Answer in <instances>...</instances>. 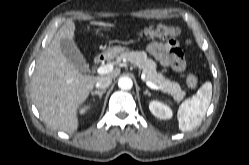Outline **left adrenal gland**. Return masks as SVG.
Instances as JSON below:
<instances>
[{"label":"left adrenal gland","mask_w":249,"mask_h":165,"mask_svg":"<svg viewBox=\"0 0 249 165\" xmlns=\"http://www.w3.org/2000/svg\"><path fill=\"white\" fill-rule=\"evenodd\" d=\"M144 94L151 95V93L148 91V89L145 90Z\"/></svg>","instance_id":"a2214340"}]
</instances>
